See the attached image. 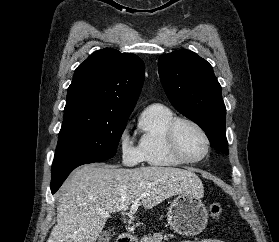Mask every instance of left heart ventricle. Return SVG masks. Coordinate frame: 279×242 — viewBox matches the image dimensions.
Wrapping results in <instances>:
<instances>
[{"mask_svg":"<svg viewBox=\"0 0 279 242\" xmlns=\"http://www.w3.org/2000/svg\"><path fill=\"white\" fill-rule=\"evenodd\" d=\"M181 151L189 158H198L205 152V141L201 134L188 124H181L177 131Z\"/></svg>","mask_w":279,"mask_h":242,"instance_id":"obj_1","label":"left heart ventricle"}]
</instances>
